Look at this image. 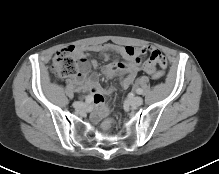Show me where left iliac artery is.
Returning <instances> with one entry per match:
<instances>
[{
  "label": "left iliac artery",
  "mask_w": 219,
  "mask_h": 174,
  "mask_svg": "<svg viewBox=\"0 0 219 174\" xmlns=\"http://www.w3.org/2000/svg\"><path fill=\"white\" fill-rule=\"evenodd\" d=\"M136 92L138 93V94H142V89H140V88H138L137 90H136Z\"/></svg>",
  "instance_id": "44dca946"
}]
</instances>
